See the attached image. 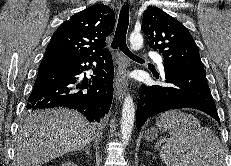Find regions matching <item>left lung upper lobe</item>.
Returning a JSON list of instances; mask_svg holds the SVG:
<instances>
[{
    "label": "left lung upper lobe",
    "instance_id": "1",
    "mask_svg": "<svg viewBox=\"0 0 231 166\" xmlns=\"http://www.w3.org/2000/svg\"><path fill=\"white\" fill-rule=\"evenodd\" d=\"M142 31L150 40L149 47L162 53L164 64L204 69L198 47L187 28L163 10L148 7L143 16Z\"/></svg>",
    "mask_w": 231,
    "mask_h": 166
}]
</instances>
